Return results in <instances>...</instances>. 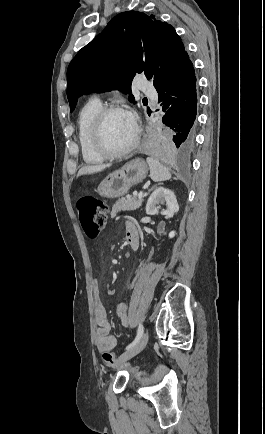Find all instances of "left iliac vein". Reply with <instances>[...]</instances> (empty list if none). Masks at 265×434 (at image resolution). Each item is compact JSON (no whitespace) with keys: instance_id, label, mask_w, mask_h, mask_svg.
I'll return each mask as SVG.
<instances>
[{"instance_id":"4c4485c4","label":"left iliac vein","mask_w":265,"mask_h":434,"mask_svg":"<svg viewBox=\"0 0 265 434\" xmlns=\"http://www.w3.org/2000/svg\"><path fill=\"white\" fill-rule=\"evenodd\" d=\"M149 340V335L147 332L143 333V335L141 336L140 340L132 347L130 348L128 351H126L125 353H123L120 357H119V362H117L116 364L121 367L125 364V362L130 359L131 357L135 356L136 354H138L141 350L144 349V347L147 345Z\"/></svg>"}]
</instances>
